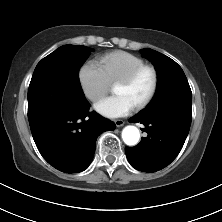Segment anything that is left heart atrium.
I'll return each instance as SVG.
<instances>
[{
  "label": "left heart atrium",
  "mask_w": 222,
  "mask_h": 222,
  "mask_svg": "<svg viewBox=\"0 0 222 222\" xmlns=\"http://www.w3.org/2000/svg\"><path fill=\"white\" fill-rule=\"evenodd\" d=\"M94 107L107 118H119L129 115L136 106L125 95H113L100 99Z\"/></svg>",
  "instance_id": "left-heart-atrium-1"
}]
</instances>
